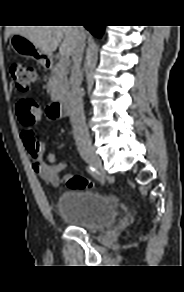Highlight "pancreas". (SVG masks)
<instances>
[{
    "instance_id": "pancreas-1",
    "label": "pancreas",
    "mask_w": 184,
    "mask_h": 292,
    "mask_svg": "<svg viewBox=\"0 0 184 292\" xmlns=\"http://www.w3.org/2000/svg\"><path fill=\"white\" fill-rule=\"evenodd\" d=\"M67 66L57 63L52 69L47 84V91L52 99H59L68 95L69 82Z\"/></svg>"
}]
</instances>
